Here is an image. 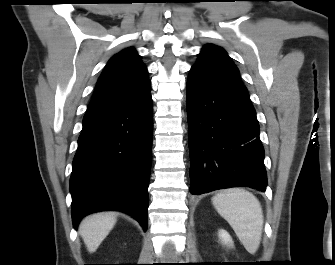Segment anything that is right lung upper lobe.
<instances>
[{"label": "right lung upper lobe", "instance_id": "obj_1", "mask_svg": "<svg viewBox=\"0 0 335 265\" xmlns=\"http://www.w3.org/2000/svg\"><path fill=\"white\" fill-rule=\"evenodd\" d=\"M146 66L133 47L114 55L105 66L95 88L88 111L120 107L150 94Z\"/></svg>", "mask_w": 335, "mask_h": 265}]
</instances>
